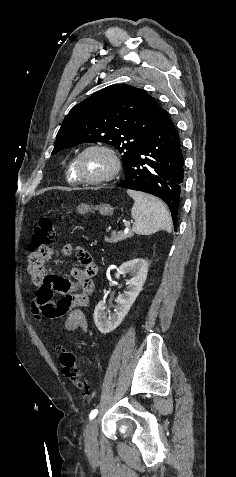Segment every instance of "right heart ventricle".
Listing matches in <instances>:
<instances>
[{"mask_svg": "<svg viewBox=\"0 0 236 477\" xmlns=\"http://www.w3.org/2000/svg\"><path fill=\"white\" fill-rule=\"evenodd\" d=\"M74 160L70 161L65 172V177L68 183L70 184H78V178L74 172Z\"/></svg>", "mask_w": 236, "mask_h": 477, "instance_id": "right-heart-ventricle-1", "label": "right heart ventricle"}]
</instances>
